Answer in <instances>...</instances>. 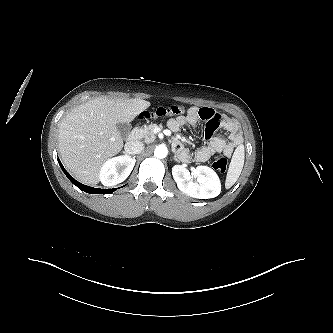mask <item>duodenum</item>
<instances>
[{
    "label": "duodenum",
    "mask_w": 333,
    "mask_h": 333,
    "mask_svg": "<svg viewBox=\"0 0 333 333\" xmlns=\"http://www.w3.org/2000/svg\"><path fill=\"white\" fill-rule=\"evenodd\" d=\"M140 127H135L128 135V143L129 144H133L134 142H136L138 140V138L140 137Z\"/></svg>",
    "instance_id": "410a0bca"
}]
</instances>
